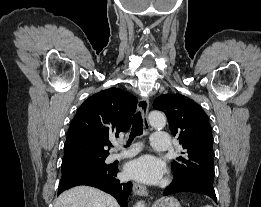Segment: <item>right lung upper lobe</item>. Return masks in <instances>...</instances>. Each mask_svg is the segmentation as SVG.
<instances>
[{"mask_svg": "<svg viewBox=\"0 0 261 207\" xmlns=\"http://www.w3.org/2000/svg\"><path fill=\"white\" fill-rule=\"evenodd\" d=\"M136 106V97L118 88H109L87 98L68 129L62 161L108 156L104 146L109 137L129 129Z\"/></svg>", "mask_w": 261, "mask_h": 207, "instance_id": "1", "label": "right lung upper lobe"}]
</instances>
